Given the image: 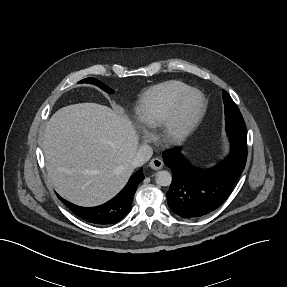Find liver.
I'll list each match as a JSON object with an SVG mask.
<instances>
[{"mask_svg":"<svg viewBox=\"0 0 287 287\" xmlns=\"http://www.w3.org/2000/svg\"><path fill=\"white\" fill-rule=\"evenodd\" d=\"M138 145L127 116L96 103L59 109L42 140L50 183L62 197L86 207L105 203L125 186Z\"/></svg>","mask_w":287,"mask_h":287,"instance_id":"liver-1","label":"liver"}]
</instances>
